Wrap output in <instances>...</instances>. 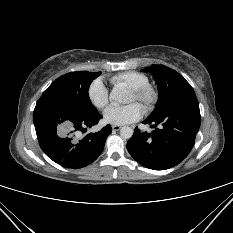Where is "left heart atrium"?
Returning <instances> with one entry per match:
<instances>
[{"label": "left heart atrium", "mask_w": 233, "mask_h": 233, "mask_svg": "<svg viewBox=\"0 0 233 233\" xmlns=\"http://www.w3.org/2000/svg\"><path fill=\"white\" fill-rule=\"evenodd\" d=\"M143 114L142 107L137 103L118 106L111 105L104 111L105 122L113 125H125L138 120Z\"/></svg>", "instance_id": "1"}]
</instances>
